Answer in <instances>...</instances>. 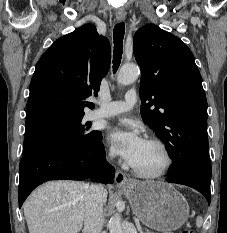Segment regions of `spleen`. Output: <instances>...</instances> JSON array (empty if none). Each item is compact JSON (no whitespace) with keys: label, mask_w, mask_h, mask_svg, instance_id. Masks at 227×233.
<instances>
[{"label":"spleen","mask_w":227,"mask_h":233,"mask_svg":"<svg viewBox=\"0 0 227 233\" xmlns=\"http://www.w3.org/2000/svg\"><path fill=\"white\" fill-rule=\"evenodd\" d=\"M202 222H203L202 217L198 216L197 219H196L197 226L200 227L202 225Z\"/></svg>","instance_id":"3e777b00"}]
</instances>
